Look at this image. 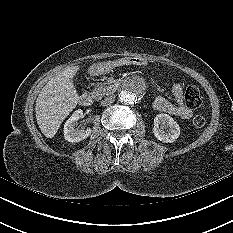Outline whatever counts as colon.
<instances>
[{"mask_svg": "<svg viewBox=\"0 0 233 233\" xmlns=\"http://www.w3.org/2000/svg\"><path fill=\"white\" fill-rule=\"evenodd\" d=\"M184 99L189 108L196 109L200 107L202 103L201 95L199 90L193 86L189 85L185 89ZM205 124V118L202 115H196L192 119V126L194 128H201Z\"/></svg>", "mask_w": 233, "mask_h": 233, "instance_id": "5ec220e1", "label": "colon"}]
</instances>
